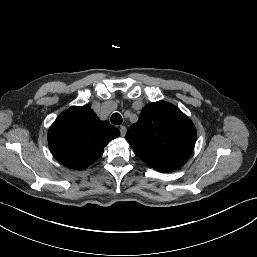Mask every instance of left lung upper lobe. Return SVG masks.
I'll return each mask as SVG.
<instances>
[{"label":"left lung upper lobe","mask_w":257,"mask_h":257,"mask_svg":"<svg viewBox=\"0 0 257 257\" xmlns=\"http://www.w3.org/2000/svg\"><path fill=\"white\" fill-rule=\"evenodd\" d=\"M196 136L194 124L179 108L158 101L143 108L127 131L126 140L150 167L168 172L186 163Z\"/></svg>","instance_id":"1"}]
</instances>
